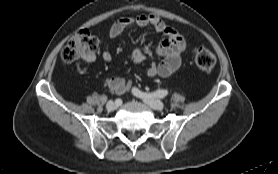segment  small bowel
<instances>
[{"instance_id":"small-bowel-1","label":"small bowel","mask_w":278,"mask_h":174,"mask_svg":"<svg viewBox=\"0 0 278 174\" xmlns=\"http://www.w3.org/2000/svg\"><path fill=\"white\" fill-rule=\"evenodd\" d=\"M147 26H151L156 32L160 33L163 39L157 48V53L162 57V60L157 64H151L147 68L146 74L150 77H168L180 67L181 54L186 48V41L181 32L168 26L157 15L143 14L136 17L121 18L111 25L109 36L110 38H116L127 29ZM101 57L105 62L112 60V55L108 51H104ZM145 58V53L141 48H136L130 56L131 62L136 65L142 63ZM87 59L93 61L94 56ZM105 85L110 91L119 95L130 91L132 88V82L123 77L108 78Z\"/></svg>"}]
</instances>
